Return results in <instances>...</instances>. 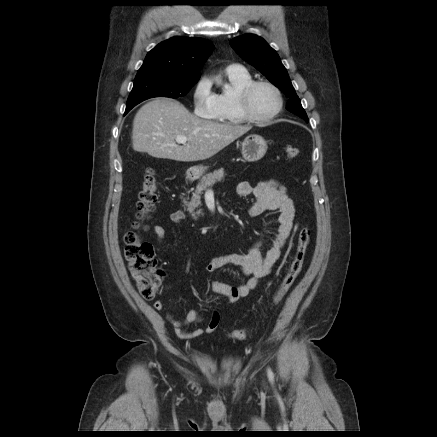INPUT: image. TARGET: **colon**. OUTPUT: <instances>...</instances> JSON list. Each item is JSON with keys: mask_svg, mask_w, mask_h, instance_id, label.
<instances>
[{"mask_svg": "<svg viewBox=\"0 0 437 437\" xmlns=\"http://www.w3.org/2000/svg\"><path fill=\"white\" fill-rule=\"evenodd\" d=\"M288 159H294L299 154V149L288 145L285 147ZM157 201V180L153 169H147L136 204V221L132 230L124 236V254L129 272L135 281L137 288L145 299H152L162 286L164 275L157 266V260L152 245L145 242L140 232L146 229L145 222L149 219ZM311 230L303 226L298 233V242L295 255L291 264L282 278L279 286L273 293L269 305H277L288 292L298 275L300 274L310 242ZM248 329H236L229 335L230 339L240 341L248 335Z\"/></svg>", "mask_w": 437, "mask_h": 437, "instance_id": "1", "label": "colon"}]
</instances>
